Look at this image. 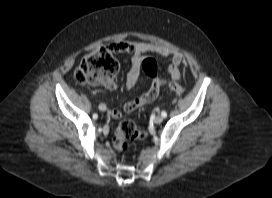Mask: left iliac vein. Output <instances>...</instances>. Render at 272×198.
Returning a JSON list of instances; mask_svg holds the SVG:
<instances>
[{
    "label": "left iliac vein",
    "instance_id": "obj_1",
    "mask_svg": "<svg viewBox=\"0 0 272 198\" xmlns=\"http://www.w3.org/2000/svg\"><path fill=\"white\" fill-rule=\"evenodd\" d=\"M163 121V117L161 115H157L155 118H154V122L156 124H160L161 122Z\"/></svg>",
    "mask_w": 272,
    "mask_h": 198
}]
</instances>
